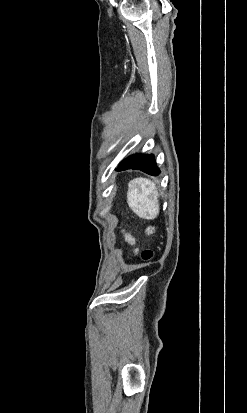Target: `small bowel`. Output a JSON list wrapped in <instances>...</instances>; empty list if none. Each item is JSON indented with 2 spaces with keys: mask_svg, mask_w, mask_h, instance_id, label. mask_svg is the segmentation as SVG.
<instances>
[{
  "mask_svg": "<svg viewBox=\"0 0 247 413\" xmlns=\"http://www.w3.org/2000/svg\"><path fill=\"white\" fill-rule=\"evenodd\" d=\"M130 235H128V234H126V240L128 241V237H129ZM131 237V236H130ZM129 242V241H128ZM130 243V242H129ZM134 243H135V240H134ZM133 243V244H134ZM132 244V243H131Z\"/></svg>",
  "mask_w": 247,
  "mask_h": 413,
  "instance_id": "small-bowel-1",
  "label": "small bowel"
}]
</instances>
